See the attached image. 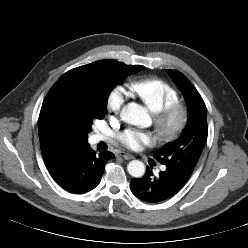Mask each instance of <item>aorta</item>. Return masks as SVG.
<instances>
[{
    "mask_svg": "<svg viewBox=\"0 0 248 248\" xmlns=\"http://www.w3.org/2000/svg\"><path fill=\"white\" fill-rule=\"evenodd\" d=\"M121 118L124 122L136 126L147 127L151 123L150 116L145 107L131 102L123 107ZM145 165L139 160H132L127 165V170L134 178H141L145 174Z\"/></svg>",
    "mask_w": 248,
    "mask_h": 248,
    "instance_id": "aorta-1",
    "label": "aorta"
}]
</instances>
